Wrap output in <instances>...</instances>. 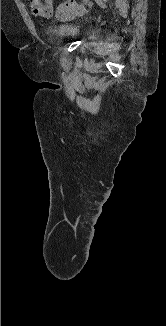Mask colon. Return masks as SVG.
Here are the masks:
<instances>
[{
	"label": "colon",
	"instance_id": "colon-1",
	"mask_svg": "<svg viewBox=\"0 0 166 326\" xmlns=\"http://www.w3.org/2000/svg\"><path fill=\"white\" fill-rule=\"evenodd\" d=\"M78 4L74 0H68L64 3H61L57 8L58 15H66L73 12L75 9L78 8Z\"/></svg>",
	"mask_w": 166,
	"mask_h": 326
}]
</instances>
